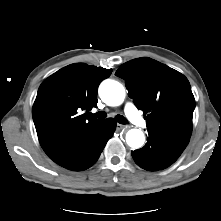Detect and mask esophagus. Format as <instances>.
I'll use <instances>...</instances> for the list:
<instances>
[{
	"label": "esophagus",
	"instance_id": "obj_1",
	"mask_svg": "<svg viewBox=\"0 0 221 221\" xmlns=\"http://www.w3.org/2000/svg\"><path fill=\"white\" fill-rule=\"evenodd\" d=\"M116 128H117V130H122V129L127 128V126L126 125H122V124H117Z\"/></svg>",
	"mask_w": 221,
	"mask_h": 221
}]
</instances>
